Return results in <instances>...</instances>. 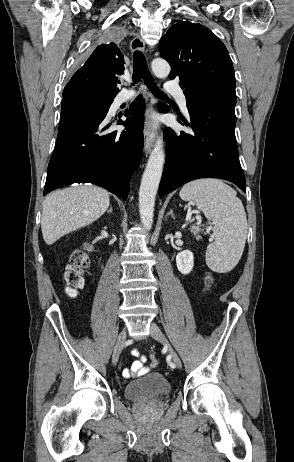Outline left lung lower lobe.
Listing matches in <instances>:
<instances>
[{
	"label": "left lung lower lobe",
	"instance_id": "1",
	"mask_svg": "<svg viewBox=\"0 0 294 462\" xmlns=\"http://www.w3.org/2000/svg\"><path fill=\"white\" fill-rule=\"evenodd\" d=\"M231 98L205 96L187 104L194 135L166 129V162L159 197L198 178H220L246 192V181L238 157L235 138V107ZM161 112L169 107L159 103Z\"/></svg>",
	"mask_w": 294,
	"mask_h": 462
}]
</instances>
